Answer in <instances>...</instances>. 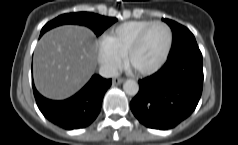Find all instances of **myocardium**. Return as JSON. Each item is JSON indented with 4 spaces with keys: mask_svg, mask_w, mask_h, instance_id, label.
<instances>
[{
    "mask_svg": "<svg viewBox=\"0 0 238 145\" xmlns=\"http://www.w3.org/2000/svg\"><path fill=\"white\" fill-rule=\"evenodd\" d=\"M155 25H161V26L165 27L168 32V41H167V45H166V48H165L162 56L159 58V60L155 64H153L152 66H150L148 68H144V69L132 68L130 65V59H131L132 55L141 46L142 41H143L145 35L147 34V32L149 31V29ZM172 43H173V33H172L170 26L163 21H152L150 24H148L145 28H143L141 30V32L137 35V37L135 38L133 43L130 45V47L126 51V53L124 55L125 65L128 69L132 70L136 74L150 75V74L156 72L158 69H160L162 67V65L166 62V60L170 54L171 48H172Z\"/></svg>",
    "mask_w": 238,
    "mask_h": 145,
    "instance_id": "1",
    "label": "myocardium"
}]
</instances>
